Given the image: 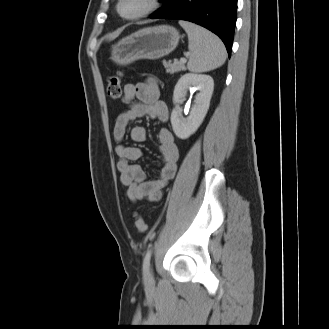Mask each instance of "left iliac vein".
Wrapping results in <instances>:
<instances>
[{
    "label": "left iliac vein",
    "mask_w": 329,
    "mask_h": 329,
    "mask_svg": "<svg viewBox=\"0 0 329 329\" xmlns=\"http://www.w3.org/2000/svg\"><path fill=\"white\" fill-rule=\"evenodd\" d=\"M147 280L148 281H152L153 280V275H152V271L151 270L147 274Z\"/></svg>",
    "instance_id": "1"
}]
</instances>
